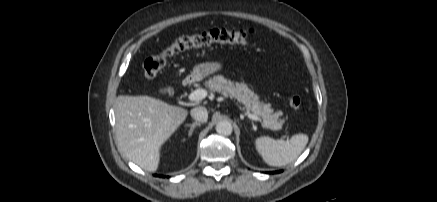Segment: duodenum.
I'll list each match as a JSON object with an SVG mask.
<instances>
[{
    "label": "duodenum",
    "mask_w": 437,
    "mask_h": 202,
    "mask_svg": "<svg viewBox=\"0 0 437 202\" xmlns=\"http://www.w3.org/2000/svg\"><path fill=\"white\" fill-rule=\"evenodd\" d=\"M193 82H194V78H192V77H188V78H186V79L183 81V85H184V86H189V85H191Z\"/></svg>",
    "instance_id": "1"
}]
</instances>
